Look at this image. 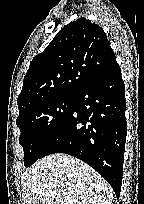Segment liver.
<instances>
[{
    "label": "liver",
    "mask_w": 144,
    "mask_h": 204,
    "mask_svg": "<svg viewBox=\"0 0 144 204\" xmlns=\"http://www.w3.org/2000/svg\"><path fill=\"white\" fill-rule=\"evenodd\" d=\"M23 204H112L111 186L92 167L67 154L48 155L21 176ZM55 192L54 196L50 193Z\"/></svg>",
    "instance_id": "1"
}]
</instances>
